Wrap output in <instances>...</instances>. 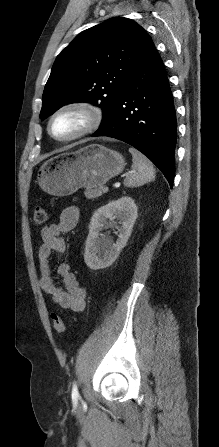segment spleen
<instances>
[{"instance_id":"obj_1","label":"spleen","mask_w":219,"mask_h":447,"mask_svg":"<svg viewBox=\"0 0 219 447\" xmlns=\"http://www.w3.org/2000/svg\"><path fill=\"white\" fill-rule=\"evenodd\" d=\"M129 152L133 157L132 172L125 178L124 185L126 187H138L153 181L155 169L151 161L134 148H129Z\"/></svg>"}]
</instances>
